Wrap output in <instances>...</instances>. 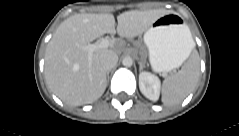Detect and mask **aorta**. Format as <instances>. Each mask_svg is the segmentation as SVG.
<instances>
[{
	"label": "aorta",
	"instance_id": "aorta-1",
	"mask_svg": "<svg viewBox=\"0 0 239 136\" xmlns=\"http://www.w3.org/2000/svg\"><path fill=\"white\" fill-rule=\"evenodd\" d=\"M122 64L125 66V67H131L132 64H133V60L131 57H124L123 60H122Z\"/></svg>",
	"mask_w": 239,
	"mask_h": 136
}]
</instances>
